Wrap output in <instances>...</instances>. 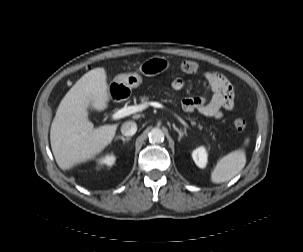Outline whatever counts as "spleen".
<instances>
[{
	"label": "spleen",
	"mask_w": 303,
	"mask_h": 252,
	"mask_svg": "<svg viewBox=\"0 0 303 252\" xmlns=\"http://www.w3.org/2000/svg\"><path fill=\"white\" fill-rule=\"evenodd\" d=\"M249 138H246L244 145H248ZM246 164V154L244 149H239L223 156L211 172V181L219 184L231 180L242 171Z\"/></svg>",
	"instance_id": "obj_1"
}]
</instances>
